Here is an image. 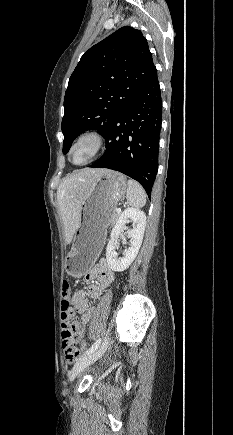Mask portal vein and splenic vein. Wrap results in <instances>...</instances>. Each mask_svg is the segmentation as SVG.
<instances>
[{"label":"portal vein and splenic vein","mask_w":233,"mask_h":435,"mask_svg":"<svg viewBox=\"0 0 233 435\" xmlns=\"http://www.w3.org/2000/svg\"><path fill=\"white\" fill-rule=\"evenodd\" d=\"M120 211H121V209H120V208H118V209H117V212H120Z\"/></svg>","instance_id":"1"}]
</instances>
